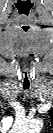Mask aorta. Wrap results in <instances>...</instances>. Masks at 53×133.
I'll return each instance as SVG.
<instances>
[{
	"label": "aorta",
	"instance_id": "762f6f07",
	"mask_svg": "<svg viewBox=\"0 0 53 133\" xmlns=\"http://www.w3.org/2000/svg\"><path fill=\"white\" fill-rule=\"evenodd\" d=\"M41 122L39 120L25 121L17 125V128L22 133H35L41 129Z\"/></svg>",
	"mask_w": 53,
	"mask_h": 133
}]
</instances>
